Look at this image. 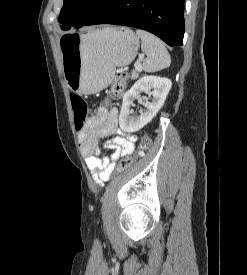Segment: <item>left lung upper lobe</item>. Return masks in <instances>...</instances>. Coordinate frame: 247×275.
Instances as JSON below:
<instances>
[{
  "label": "left lung upper lobe",
  "mask_w": 247,
  "mask_h": 275,
  "mask_svg": "<svg viewBox=\"0 0 247 275\" xmlns=\"http://www.w3.org/2000/svg\"><path fill=\"white\" fill-rule=\"evenodd\" d=\"M105 2L106 0H64L59 15L62 30H68L71 26H83Z\"/></svg>",
  "instance_id": "obj_1"
}]
</instances>
